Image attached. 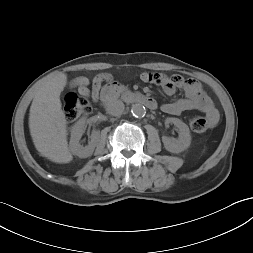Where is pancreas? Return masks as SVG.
I'll return each instance as SVG.
<instances>
[{
  "label": "pancreas",
  "instance_id": "pancreas-1",
  "mask_svg": "<svg viewBox=\"0 0 253 253\" xmlns=\"http://www.w3.org/2000/svg\"><path fill=\"white\" fill-rule=\"evenodd\" d=\"M120 90H121V91H127V90H128V88H127V87H125V86H121V87H120Z\"/></svg>",
  "mask_w": 253,
  "mask_h": 253
}]
</instances>
